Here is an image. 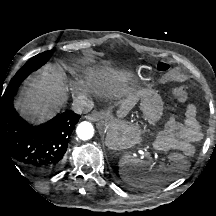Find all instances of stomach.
Returning <instances> with one entry per match:
<instances>
[{"instance_id":"1","label":"stomach","mask_w":216,"mask_h":216,"mask_svg":"<svg viewBox=\"0 0 216 216\" xmlns=\"http://www.w3.org/2000/svg\"><path fill=\"white\" fill-rule=\"evenodd\" d=\"M140 108L144 119L151 125L159 122L163 115L162 99L153 90L142 91ZM104 132L106 134V145L114 150L132 148L142 134L139 127L128 125L122 121H110L106 125Z\"/></svg>"}]
</instances>
